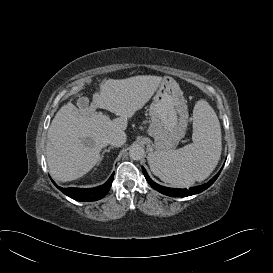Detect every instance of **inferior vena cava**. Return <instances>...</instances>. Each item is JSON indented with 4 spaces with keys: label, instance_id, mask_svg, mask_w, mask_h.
I'll list each match as a JSON object with an SVG mask.
<instances>
[{
    "label": "inferior vena cava",
    "instance_id": "1",
    "mask_svg": "<svg viewBox=\"0 0 273 273\" xmlns=\"http://www.w3.org/2000/svg\"><path fill=\"white\" fill-rule=\"evenodd\" d=\"M107 142L112 146L120 147L126 142V134L122 130H115L108 135Z\"/></svg>",
    "mask_w": 273,
    "mask_h": 273
}]
</instances>
